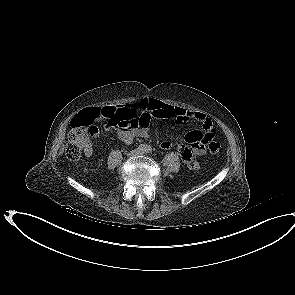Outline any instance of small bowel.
I'll list each match as a JSON object with an SVG mask.
<instances>
[{"label":"small bowel","instance_id":"obj_1","mask_svg":"<svg viewBox=\"0 0 295 295\" xmlns=\"http://www.w3.org/2000/svg\"><path fill=\"white\" fill-rule=\"evenodd\" d=\"M111 108L113 111V118L104 123V128L105 130L114 132L119 140L126 144L132 143L136 137H148L149 124L153 117L167 119L172 124H184L191 120H197L202 123L203 129H193L189 131L185 135V142L187 145L179 143L178 149L182 160L193 167L198 166L196 156L203 155L206 152L208 131L213 129V123L212 120L202 112L190 111L152 98H144L138 102ZM98 111L99 109H96L91 112L94 118L100 121L101 117L95 115ZM125 119L136 120L138 126L135 129L119 126V123L123 122ZM97 135L98 129L95 136ZM160 146L163 149H170L173 146V142L170 140H163ZM84 152L86 155H91V146L89 145Z\"/></svg>","mask_w":295,"mask_h":295}]
</instances>
